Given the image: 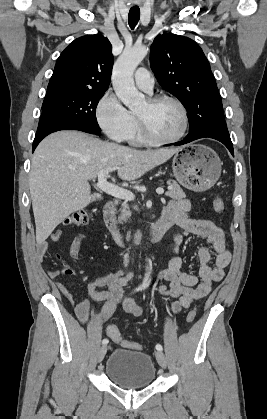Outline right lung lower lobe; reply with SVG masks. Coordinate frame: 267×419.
Masks as SVG:
<instances>
[{"label": "right lung lower lobe", "instance_id": "98d812e1", "mask_svg": "<svg viewBox=\"0 0 267 419\" xmlns=\"http://www.w3.org/2000/svg\"><path fill=\"white\" fill-rule=\"evenodd\" d=\"M60 130H79L90 134H99L100 132L94 131L90 128H86L77 124H74L66 119L42 113L37 129V133L35 135V139L33 141V151L39 144V142L45 138L50 133L60 131Z\"/></svg>", "mask_w": 267, "mask_h": 419}]
</instances>
